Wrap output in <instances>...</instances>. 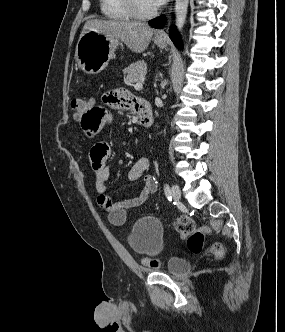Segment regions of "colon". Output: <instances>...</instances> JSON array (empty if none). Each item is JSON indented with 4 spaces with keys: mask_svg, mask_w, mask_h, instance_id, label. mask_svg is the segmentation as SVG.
<instances>
[{
    "mask_svg": "<svg viewBox=\"0 0 285 332\" xmlns=\"http://www.w3.org/2000/svg\"><path fill=\"white\" fill-rule=\"evenodd\" d=\"M90 106H97L92 98L80 97L73 100L71 110L74 118L77 120L78 115H83V111H89ZM175 229L186 239V245L192 253L202 251L205 235L210 231L207 226L196 227L194 221L187 216L177 218ZM211 251L216 257H222L224 253L223 246L219 242L212 245ZM145 263L148 267H158L160 265L159 260L150 258L145 259Z\"/></svg>",
    "mask_w": 285,
    "mask_h": 332,
    "instance_id": "obj_1",
    "label": "colon"
}]
</instances>
